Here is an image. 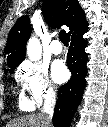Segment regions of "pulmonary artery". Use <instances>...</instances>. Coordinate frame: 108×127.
Here are the masks:
<instances>
[{"mask_svg":"<svg viewBox=\"0 0 108 127\" xmlns=\"http://www.w3.org/2000/svg\"><path fill=\"white\" fill-rule=\"evenodd\" d=\"M63 48H62V45L61 43L58 41V40H53L51 42V45H50V51L55 54V55H58L62 52Z\"/></svg>","mask_w":108,"mask_h":127,"instance_id":"pulmonary-artery-1","label":"pulmonary artery"}]
</instances>
